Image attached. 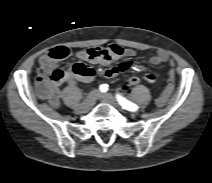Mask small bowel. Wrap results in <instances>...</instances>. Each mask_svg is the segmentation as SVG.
Instances as JSON below:
<instances>
[{"label": "small bowel", "instance_id": "small-bowel-1", "mask_svg": "<svg viewBox=\"0 0 212 183\" xmlns=\"http://www.w3.org/2000/svg\"><path fill=\"white\" fill-rule=\"evenodd\" d=\"M135 55V51L131 49L123 48L119 45H108L106 47H93L86 50H82L77 53V57L80 60L89 62L91 64L99 65H109L121 58L131 57ZM149 62L152 65H159L161 63H168L170 66L168 80L162 92L157 95L155 103L157 106L162 107L172 94L175 85V72L173 69L174 62L170 59L168 53L164 50H158L151 58ZM39 64L41 67L51 69L57 67V62L51 59L48 54L43 55L39 59ZM131 67L130 62H123L118 66L109 67L105 72L104 76L107 78H112L117 76L120 72L126 71ZM95 70L86 66V73L84 75L76 74L72 71H66L63 79L58 83L52 82H39L38 92L42 99L48 101V103L57 108L60 105V88L59 83H67L68 85H73L77 80L86 83H91L95 78ZM143 79L148 84H153L156 81V77L152 73H144Z\"/></svg>", "mask_w": 212, "mask_h": 183}]
</instances>
